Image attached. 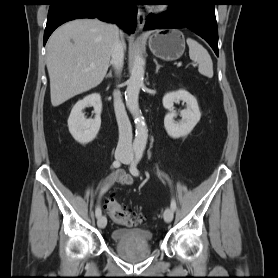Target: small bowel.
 I'll return each mask as SVG.
<instances>
[{"label":"small bowel","mask_w":278,"mask_h":278,"mask_svg":"<svg viewBox=\"0 0 278 278\" xmlns=\"http://www.w3.org/2000/svg\"><path fill=\"white\" fill-rule=\"evenodd\" d=\"M131 186L134 184V178L131 174L126 173L123 169H117L111 172L100 184V192L104 189H110L114 184Z\"/></svg>","instance_id":"obj_1"}]
</instances>
